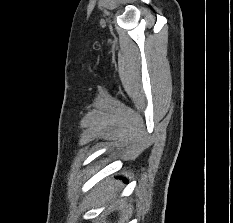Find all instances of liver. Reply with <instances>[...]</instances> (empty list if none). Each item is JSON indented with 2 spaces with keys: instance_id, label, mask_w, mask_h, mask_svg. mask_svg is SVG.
Here are the masks:
<instances>
[{
  "instance_id": "6515ba94",
  "label": "liver",
  "mask_w": 233,
  "mask_h": 223,
  "mask_svg": "<svg viewBox=\"0 0 233 223\" xmlns=\"http://www.w3.org/2000/svg\"><path fill=\"white\" fill-rule=\"evenodd\" d=\"M117 189L118 185L116 181H110V179H108V181H104L98 193V197L99 199H101V201H108V199H114L116 195L115 191H117ZM123 201L124 199H117L118 205H122Z\"/></svg>"
}]
</instances>
